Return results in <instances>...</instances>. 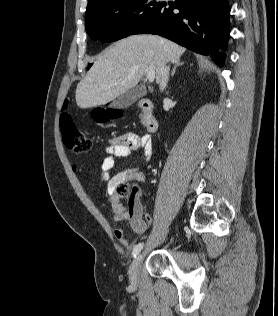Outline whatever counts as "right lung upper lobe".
Wrapping results in <instances>:
<instances>
[{"mask_svg":"<svg viewBox=\"0 0 278 316\" xmlns=\"http://www.w3.org/2000/svg\"><path fill=\"white\" fill-rule=\"evenodd\" d=\"M107 1H110V0H89L88 1V6L86 8V11L90 10L91 8L95 7V6H98L100 4H103Z\"/></svg>","mask_w":278,"mask_h":316,"instance_id":"cb5924a9","label":"right lung upper lobe"}]
</instances>
